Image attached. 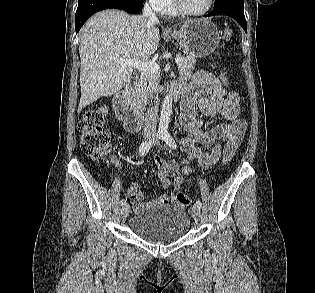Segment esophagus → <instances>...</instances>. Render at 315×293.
Here are the masks:
<instances>
[{"label": "esophagus", "instance_id": "esophagus-1", "mask_svg": "<svg viewBox=\"0 0 315 293\" xmlns=\"http://www.w3.org/2000/svg\"><path fill=\"white\" fill-rule=\"evenodd\" d=\"M172 29L170 27H166L165 31H171Z\"/></svg>", "mask_w": 315, "mask_h": 293}]
</instances>
